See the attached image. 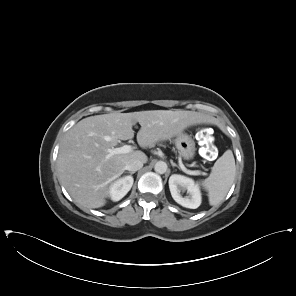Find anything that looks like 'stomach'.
Segmentation results:
<instances>
[{
	"label": "stomach",
	"mask_w": 296,
	"mask_h": 296,
	"mask_svg": "<svg viewBox=\"0 0 296 296\" xmlns=\"http://www.w3.org/2000/svg\"><path fill=\"white\" fill-rule=\"evenodd\" d=\"M176 148L185 160L193 159L195 156V142L194 140L186 133H180L176 136L175 139Z\"/></svg>",
	"instance_id": "1"
}]
</instances>
